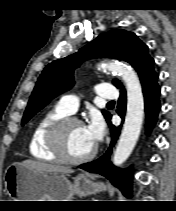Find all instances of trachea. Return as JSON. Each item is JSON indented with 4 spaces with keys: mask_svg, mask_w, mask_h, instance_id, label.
Listing matches in <instances>:
<instances>
[{
    "mask_svg": "<svg viewBox=\"0 0 176 211\" xmlns=\"http://www.w3.org/2000/svg\"><path fill=\"white\" fill-rule=\"evenodd\" d=\"M108 104H115V102L114 101H110V102H108Z\"/></svg>",
    "mask_w": 176,
    "mask_h": 211,
    "instance_id": "obj_1",
    "label": "trachea"
}]
</instances>
